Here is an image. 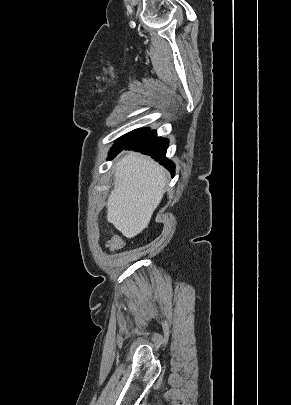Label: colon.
<instances>
[{"instance_id": "5ec220e1", "label": "colon", "mask_w": 291, "mask_h": 405, "mask_svg": "<svg viewBox=\"0 0 291 405\" xmlns=\"http://www.w3.org/2000/svg\"><path fill=\"white\" fill-rule=\"evenodd\" d=\"M107 246L110 250H118L123 246V241L119 236L115 235L108 241Z\"/></svg>"}]
</instances>
